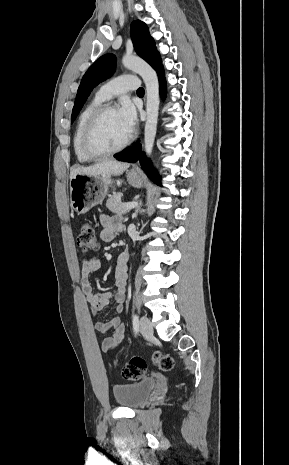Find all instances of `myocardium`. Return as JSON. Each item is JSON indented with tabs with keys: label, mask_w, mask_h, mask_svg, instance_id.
Masks as SVG:
<instances>
[{
	"label": "myocardium",
	"mask_w": 289,
	"mask_h": 465,
	"mask_svg": "<svg viewBox=\"0 0 289 465\" xmlns=\"http://www.w3.org/2000/svg\"><path fill=\"white\" fill-rule=\"evenodd\" d=\"M113 110H116V108L112 105H100L92 112L85 124L82 136V147L84 152L91 158H101L119 153L127 148L132 141L130 135L121 145L111 149H103L97 145L96 135L99 122L106 113Z\"/></svg>",
	"instance_id": "myocardium-1"
}]
</instances>
